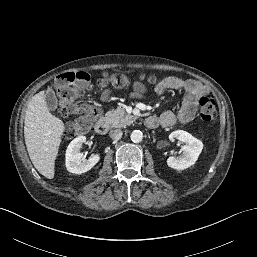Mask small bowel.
I'll return each instance as SVG.
<instances>
[{
  "instance_id": "c3829d8e",
  "label": "small bowel",
  "mask_w": 257,
  "mask_h": 257,
  "mask_svg": "<svg viewBox=\"0 0 257 257\" xmlns=\"http://www.w3.org/2000/svg\"><path fill=\"white\" fill-rule=\"evenodd\" d=\"M155 92L160 94L165 90H180L183 93V102L180 108L174 111H165L157 119V126L172 127L176 124H186L191 122L196 115L199 99L207 94V88L196 80H183L178 77L169 76L156 84ZM100 98L107 100L111 92L109 89H98ZM146 93V87L140 83L133 84V97H142Z\"/></svg>"
}]
</instances>
